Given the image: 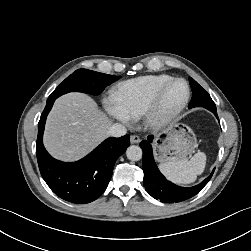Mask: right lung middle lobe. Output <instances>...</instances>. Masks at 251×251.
<instances>
[{
  "label": "right lung middle lobe",
  "mask_w": 251,
  "mask_h": 251,
  "mask_svg": "<svg viewBox=\"0 0 251 251\" xmlns=\"http://www.w3.org/2000/svg\"><path fill=\"white\" fill-rule=\"evenodd\" d=\"M120 76H113L87 69H78L68 76L49 96L58 98L68 92H84L99 95L104 88L119 79Z\"/></svg>",
  "instance_id": "right-lung-middle-lobe-1"
}]
</instances>
